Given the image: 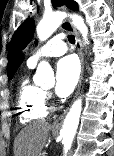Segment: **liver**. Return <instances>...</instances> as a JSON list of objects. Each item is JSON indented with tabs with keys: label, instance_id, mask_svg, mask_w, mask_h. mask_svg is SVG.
Returning a JSON list of instances; mask_svg holds the SVG:
<instances>
[{
	"label": "liver",
	"instance_id": "liver-1",
	"mask_svg": "<svg viewBox=\"0 0 114 156\" xmlns=\"http://www.w3.org/2000/svg\"><path fill=\"white\" fill-rule=\"evenodd\" d=\"M51 125L35 121L24 127L14 143V156H40Z\"/></svg>",
	"mask_w": 114,
	"mask_h": 156
}]
</instances>
